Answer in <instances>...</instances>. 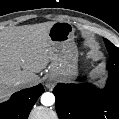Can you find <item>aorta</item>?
<instances>
[{"instance_id": "obj_1", "label": "aorta", "mask_w": 119, "mask_h": 119, "mask_svg": "<svg viewBox=\"0 0 119 119\" xmlns=\"http://www.w3.org/2000/svg\"><path fill=\"white\" fill-rule=\"evenodd\" d=\"M41 103L44 105V106H51L55 103V96L53 93H50V92H46V93H43L42 96H41Z\"/></svg>"}]
</instances>
